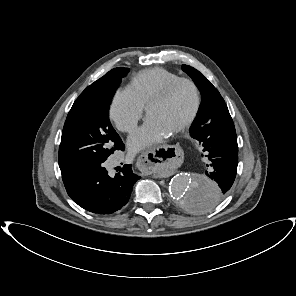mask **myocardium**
<instances>
[{
	"label": "myocardium",
	"mask_w": 296,
	"mask_h": 296,
	"mask_svg": "<svg viewBox=\"0 0 296 296\" xmlns=\"http://www.w3.org/2000/svg\"><path fill=\"white\" fill-rule=\"evenodd\" d=\"M183 85H188L192 88L194 92L195 102L191 114L180 126L173 130V132H171L173 135L179 134L188 129L195 122L199 114L201 108V93L197 84L190 79H178L170 85H168L164 90L155 95L153 98H151L148 104L146 105V114L149 115V112L153 106L168 100L173 95V93Z\"/></svg>",
	"instance_id": "f54148a6"
}]
</instances>
